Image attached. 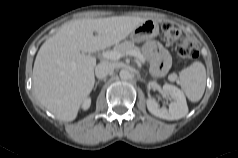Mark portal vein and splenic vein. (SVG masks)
I'll use <instances>...</instances> for the list:
<instances>
[{
  "mask_svg": "<svg viewBox=\"0 0 238 158\" xmlns=\"http://www.w3.org/2000/svg\"><path fill=\"white\" fill-rule=\"evenodd\" d=\"M125 55H130V56H134L139 60V65L141 66V64H143L145 62L144 57L135 51H127L125 53ZM122 56H124L123 54L117 52V51H107L104 52L102 54V57L105 59H109V60H119Z\"/></svg>",
  "mask_w": 238,
  "mask_h": 158,
  "instance_id": "obj_1",
  "label": "portal vein and splenic vein"
}]
</instances>
